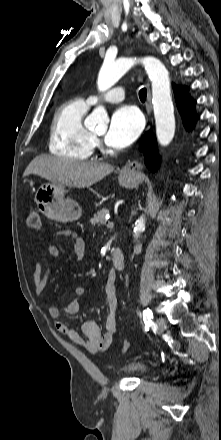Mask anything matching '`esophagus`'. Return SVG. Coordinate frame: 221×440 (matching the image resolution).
Instances as JSON below:
<instances>
[{"instance_id":"esophagus-1","label":"esophagus","mask_w":221,"mask_h":440,"mask_svg":"<svg viewBox=\"0 0 221 440\" xmlns=\"http://www.w3.org/2000/svg\"><path fill=\"white\" fill-rule=\"evenodd\" d=\"M146 112H147V116H150L152 113L151 93L148 84H147ZM142 168L143 166L140 162L131 161L126 163V165L122 168V172L136 176L142 171Z\"/></svg>"}]
</instances>
